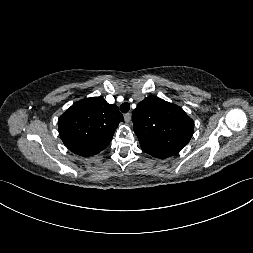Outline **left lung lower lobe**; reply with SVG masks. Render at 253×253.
<instances>
[{
  "label": "left lung lower lobe",
  "mask_w": 253,
  "mask_h": 253,
  "mask_svg": "<svg viewBox=\"0 0 253 253\" xmlns=\"http://www.w3.org/2000/svg\"><path fill=\"white\" fill-rule=\"evenodd\" d=\"M152 156L157 157V158H165V157L157 156V155H152Z\"/></svg>",
  "instance_id": "0a47b994"
}]
</instances>
